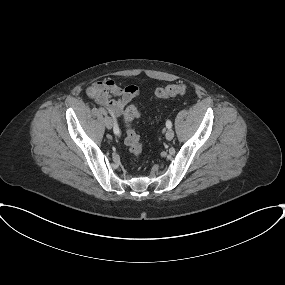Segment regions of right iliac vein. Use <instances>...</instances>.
Segmentation results:
<instances>
[{
	"label": "right iliac vein",
	"instance_id": "obj_1",
	"mask_svg": "<svg viewBox=\"0 0 285 285\" xmlns=\"http://www.w3.org/2000/svg\"><path fill=\"white\" fill-rule=\"evenodd\" d=\"M104 123H105V126H106L107 129H112L113 121H112L111 117L106 116L105 119H104Z\"/></svg>",
	"mask_w": 285,
	"mask_h": 285
}]
</instances>
